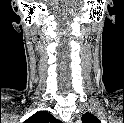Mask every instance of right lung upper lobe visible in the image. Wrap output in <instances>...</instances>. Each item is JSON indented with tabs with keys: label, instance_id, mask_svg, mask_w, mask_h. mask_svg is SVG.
<instances>
[{
	"label": "right lung upper lobe",
	"instance_id": "right-lung-upper-lobe-1",
	"mask_svg": "<svg viewBox=\"0 0 124 123\" xmlns=\"http://www.w3.org/2000/svg\"><path fill=\"white\" fill-rule=\"evenodd\" d=\"M59 120L55 119L50 113L39 111L28 118L25 123H58Z\"/></svg>",
	"mask_w": 124,
	"mask_h": 123
}]
</instances>
